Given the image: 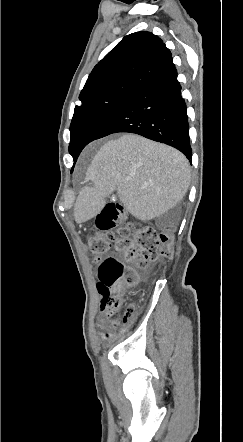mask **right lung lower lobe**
I'll return each mask as SVG.
<instances>
[{
    "instance_id": "98d812e1",
    "label": "right lung lower lobe",
    "mask_w": 243,
    "mask_h": 442,
    "mask_svg": "<svg viewBox=\"0 0 243 442\" xmlns=\"http://www.w3.org/2000/svg\"><path fill=\"white\" fill-rule=\"evenodd\" d=\"M130 132L165 143L192 157L189 124L175 65L129 93L103 121L91 141Z\"/></svg>"
}]
</instances>
